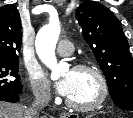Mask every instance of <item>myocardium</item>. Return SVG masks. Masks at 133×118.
Masks as SVG:
<instances>
[{
  "label": "myocardium",
  "mask_w": 133,
  "mask_h": 118,
  "mask_svg": "<svg viewBox=\"0 0 133 118\" xmlns=\"http://www.w3.org/2000/svg\"><path fill=\"white\" fill-rule=\"evenodd\" d=\"M73 70L74 71H90V72H92L98 81L99 95L95 101H93L92 103L87 104V105L75 104L67 98L65 100L66 106L69 109H71L75 112H79V113L91 112V111L96 110L100 106H102L105 103V101L107 100L108 93H109L107 80H106L103 72L96 65L89 64V63L76 64L73 67Z\"/></svg>",
  "instance_id": "myocardium-1"
}]
</instances>
